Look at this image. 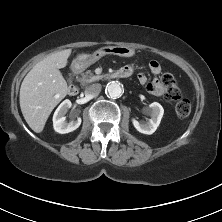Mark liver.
<instances>
[{"instance_id": "6515ba94", "label": "liver", "mask_w": 222, "mask_h": 222, "mask_svg": "<svg viewBox=\"0 0 222 222\" xmlns=\"http://www.w3.org/2000/svg\"><path fill=\"white\" fill-rule=\"evenodd\" d=\"M70 54L71 49H65L48 55L28 72L21 84L20 108L27 124L36 133L43 131L52 110L68 93L67 82L59 69L67 65ZM89 56L78 55L80 58Z\"/></svg>"}]
</instances>
